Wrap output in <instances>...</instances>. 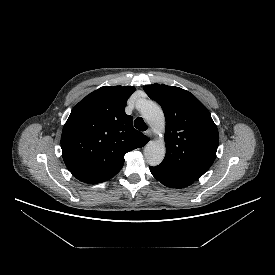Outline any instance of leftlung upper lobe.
<instances>
[{
  "label": "left lung upper lobe",
  "mask_w": 275,
  "mask_h": 275,
  "mask_svg": "<svg viewBox=\"0 0 275 275\" xmlns=\"http://www.w3.org/2000/svg\"><path fill=\"white\" fill-rule=\"evenodd\" d=\"M144 91L161 105L166 119V155L159 166L196 181L213 164L219 144L210 112L179 87L152 84Z\"/></svg>",
  "instance_id": "5c2ea615"
}]
</instances>
